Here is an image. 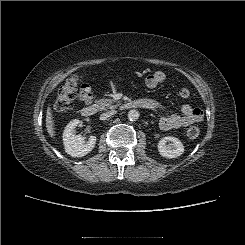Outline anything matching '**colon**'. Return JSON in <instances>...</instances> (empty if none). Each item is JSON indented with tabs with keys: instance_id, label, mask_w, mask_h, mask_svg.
Segmentation results:
<instances>
[{
	"instance_id": "5ec220e1",
	"label": "colon",
	"mask_w": 245,
	"mask_h": 245,
	"mask_svg": "<svg viewBox=\"0 0 245 245\" xmlns=\"http://www.w3.org/2000/svg\"><path fill=\"white\" fill-rule=\"evenodd\" d=\"M85 84L80 85L76 76L69 78L65 84L59 89L58 96L55 100L54 108L57 112H66L73 107L74 100L77 95L84 89ZM190 95V91L187 88H181L179 90V96L187 98ZM199 129L197 127H191L187 130V137L189 139H196L199 136Z\"/></svg>"
}]
</instances>
